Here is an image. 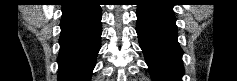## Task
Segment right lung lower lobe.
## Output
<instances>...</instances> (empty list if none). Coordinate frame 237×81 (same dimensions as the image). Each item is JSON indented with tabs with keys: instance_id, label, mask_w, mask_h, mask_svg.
<instances>
[{
	"instance_id": "right-lung-lower-lobe-1",
	"label": "right lung lower lobe",
	"mask_w": 237,
	"mask_h": 81,
	"mask_svg": "<svg viewBox=\"0 0 237 81\" xmlns=\"http://www.w3.org/2000/svg\"><path fill=\"white\" fill-rule=\"evenodd\" d=\"M59 81H89L101 40V8L86 0L62 5Z\"/></svg>"
}]
</instances>
